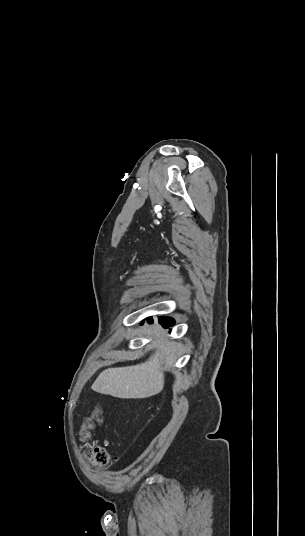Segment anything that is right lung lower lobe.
Here are the masks:
<instances>
[{
	"mask_svg": "<svg viewBox=\"0 0 305 536\" xmlns=\"http://www.w3.org/2000/svg\"><path fill=\"white\" fill-rule=\"evenodd\" d=\"M159 323L163 325V327L167 328L175 323V321L170 317H161L159 319Z\"/></svg>",
	"mask_w": 305,
	"mask_h": 536,
	"instance_id": "right-lung-lower-lobe-1",
	"label": "right lung lower lobe"
}]
</instances>
